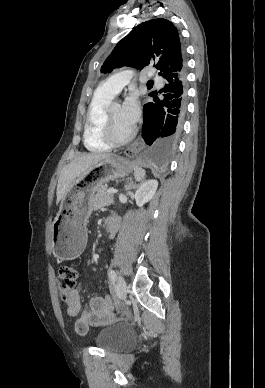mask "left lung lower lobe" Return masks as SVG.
I'll return each instance as SVG.
<instances>
[{
    "mask_svg": "<svg viewBox=\"0 0 265 388\" xmlns=\"http://www.w3.org/2000/svg\"><path fill=\"white\" fill-rule=\"evenodd\" d=\"M165 85L154 103L143 107V157L152 166L165 169L182 131L186 111V67L163 77Z\"/></svg>",
    "mask_w": 265,
    "mask_h": 388,
    "instance_id": "obj_1",
    "label": "left lung lower lobe"
}]
</instances>
